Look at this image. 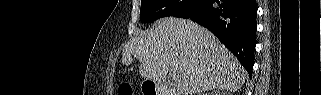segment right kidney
Instances as JSON below:
<instances>
[{"label":"right kidney","mask_w":321,"mask_h":95,"mask_svg":"<svg viewBox=\"0 0 321 95\" xmlns=\"http://www.w3.org/2000/svg\"><path fill=\"white\" fill-rule=\"evenodd\" d=\"M221 95V93H218L217 91H216V93H215V95ZM223 95H227L226 93H224Z\"/></svg>","instance_id":"ca27d5eb"}]
</instances>
